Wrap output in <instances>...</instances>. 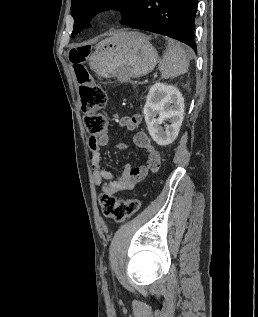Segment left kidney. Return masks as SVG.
<instances>
[{
  "label": "left kidney",
  "instance_id": "obj_1",
  "mask_svg": "<svg viewBox=\"0 0 258 317\" xmlns=\"http://www.w3.org/2000/svg\"><path fill=\"white\" fill-rule=\"evenodd\" d=\"M143 112L153 140L160 146L171 144L178 136L182 124L184 98L176 86L155 82L146 96ZM164 120H169L171 124H165L163 128L160 124Z\"/></svg>",
  "mask_w": 258,
  "mask_h": 317
}]
</instances>
